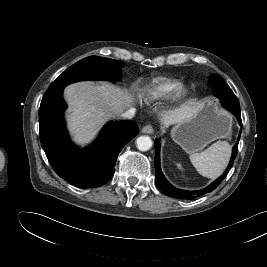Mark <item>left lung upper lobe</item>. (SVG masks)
Segmentation results:
<instances>
[{
  "mask_svg": "<svg viewBox=\"0 0 267 267\" xmlns=\"http://www.w3.org/2000/svg\"><path fill=\"white\" fill-rule=\"evenodd\" d=\"M210 83L212 85L214 94L218 98H220L222 95L232 92L230 87L226 84V82L220 76H216L215 78H210Z\"/></svg>",
  "mask_w": 267,
  "mask_h": 267,
  "instance_id": "left-lung-upper-lobe-1",
  "label": "left lung upper lobe"
}]
</instances>
